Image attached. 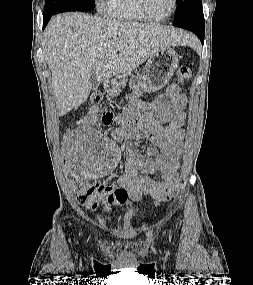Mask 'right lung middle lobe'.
Segmentation results:
<instances>
[{
  "instance_id": "1",
  "label": "right lung middle lobe",
  "mask_w": 253,
  "mask_h": 285,
  "mask_svg": "<svg viewBox=\"0 0 253 285\" xmlns=\"http://www.w3.org/2000/svg\"><path fill=\"white\" fill-rule=\"evenodd\" d=\"M94 7V0H46L44 14H58L67 11H87Z\"/></svg>"
}]
</instances>
